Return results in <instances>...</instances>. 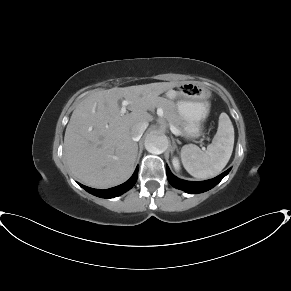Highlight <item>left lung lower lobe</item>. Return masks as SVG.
Here are the masks:
<instances>
[{
    "mask_svg": "<svg viewBox=\"0 0 291 291\" xmlns=\"http://www.w3.org/2000/svg\"><path fill=\"white\" fill-rule=\"evenodd\" d=\"M229 171L230 169L220 174L219 176L207 181L192 182V181H185V180L177 178L171 173L169 167L166 166V173H167V178H168L169 183L173 187L183 190L187 193H191V194L205 192L213 188L229 173Z\"/></svg>",
    "mask_w": 291,
    "mask_h": 291,
    "instance_id": "0a47b994",
    "label": "left lung lower lobe"
}]
</instances>
